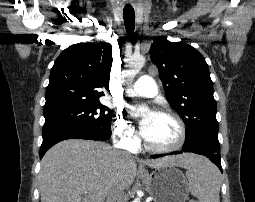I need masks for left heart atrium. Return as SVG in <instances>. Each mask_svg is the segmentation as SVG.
I'll list each match as a JSON object with an SVG mask.
<instances>
[{
  "instance_id": "1",
  "label": "left heart atrium",
  "mask_w": 255,
  "mask_h": 202,
  "mask_svg": "<svg viewBox=\"0 0 255 202\" xmlns=\"http://www.w3.org/2000/svg\"><path fill=\"white\" fill-rule=\"evenodd\" d=\"M148 123H149V117H146V118L142 119V121L140 123V128H141L142 134L146 130V128L148 126Z\"/></svg>"
}]
</instances>
